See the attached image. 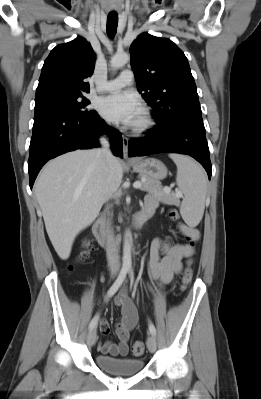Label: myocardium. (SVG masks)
<instances>
[{"label": "myocardium", "instance_id": "f54148a6", "mask_svg": "<svg viewBox=\"0 0 261 399\" xmlns=\"http://www.w3.org/2000/svg\"><path fill=\"white\" fill-rule=\"evenodd\" d=\"M154 122L152 117L148 112H144L139 121L134 124L133 132L137 134H141L147 132L152 126Z\"/></svg>", "mask_w": 261, "mask_h": 399}]
</instances>
